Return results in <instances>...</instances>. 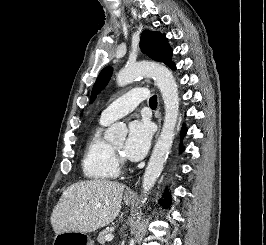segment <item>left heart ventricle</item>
Segmentation results:
<instances>
[{
    "label": "left heart ventricle",
    "instance_id": "b2bd125f",
    "mask_svg": "<svg viewBox=\"0 0 266 245\" xmlns=\"http://www.w3.org/2000/svg\"><path fill=\"white\" fill-rule=\"evenodd\" d=\"M123 141H119L117 143L112 144V146L117 149L118 151L122 148Z\"/></svg>",
    "mask_w": 266,
    "mask_h": 245
}]
</instances>
